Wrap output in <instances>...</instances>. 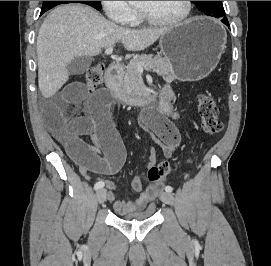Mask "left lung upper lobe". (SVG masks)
Masks as SVG:
<instances>
[{
  "label": "left lung upper lobe",
  "instance_id": "obj_1",
  "mask_svg": "<svg viewBox=\"0 0 271 266\" xmlns=\"http://www.w3.org/2000/svg\"><path fill=\"white\" fill-rule=\"evenodd\" d=\"M196 7L205 13L206 15L223 18L225 17V11L223 8L222 1H192Z\"/></svg>",
  "mask_w": 271,
  "mask_h": 266
}]
</instances>
